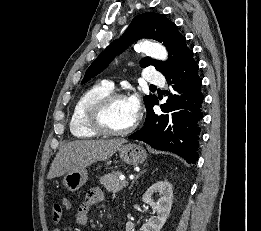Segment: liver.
Segmentation results:
<instances>
[{"mask_svg":"<svg viewBox=\"0 0 261 231\" xmlns=\"http://www.w3.org/2000/svg\"><path fill=\"white\" fill-rule=\"evenodd\" d=\"M125 139L111 140H77L60 147L54 158L47 179L86 168L96 161L110 158L119 147L126 143Z\"/></svg>","mask_w":261,"mask_h":231,"instance_id":"obj_1","label":"liver"}]
</instances>
